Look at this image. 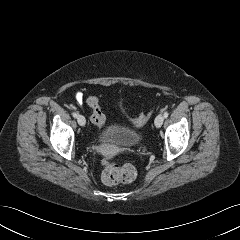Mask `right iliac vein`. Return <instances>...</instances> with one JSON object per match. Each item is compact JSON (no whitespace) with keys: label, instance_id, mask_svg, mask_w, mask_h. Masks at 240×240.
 Here are the masks:
<instances>
[{"label":"right iliac vein","instance_id":"right-iliac-vein-1","mask_svg":"<svg viewBox=\"0 0 240 240\" xmlns=\"http://www.w3.org/2000/svg\"><path fill=\"white\" fill-rule=\"evenodd\" d=\"M77 121H78V124H79L80 126H85V124H86V119H85V117L82 116V115H78Z\"/></svg>","mask_w":240,"mask_h":240}]
</instances>
